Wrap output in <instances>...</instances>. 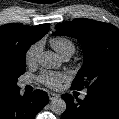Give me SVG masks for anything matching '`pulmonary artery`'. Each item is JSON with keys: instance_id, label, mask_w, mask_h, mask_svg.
<instances>
[{"instance_id": "obj_1", "label": "pulmonary artery", "mask_w": 119, "mask_h": 119, "mask_svg": "<svg viewBox=\"0 0 119 119\" xmlns=\"http://www.w3.org/2000/svg\"><path fill=\"white\" fill-rule=\"evenodd\" d=\"M70 57H71V56L67 55V56H64L63 59H64V60H68ZM27 84H29V81H28V80H23V81H21L20 86L24 87V86H26ZM85 96H86V93L84 92V93L82 94L81 98L84 99Z\"/></svg>"}]
</instances>
